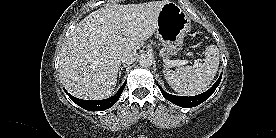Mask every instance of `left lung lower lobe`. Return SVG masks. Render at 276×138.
<instances>
[{
    "label": "left lung lower lobe",
    "instance_id": "obj_1",
    "mask_svg": "<svg viewBox=\"0 0 276 138\" xmlns=\"http://www.w3.org/2000/svg\"><path fill=\"white\" fill-rule=\"evenodd\" d=\"M221 78H222V73L218 78V80L215 82V84L209 90L196 96H189V97L175 96L165 92L159 85L158 87L160 88L161 93L165 97V99L171 101L175 105H178L184 108H191L201 104L206 99H208L220 84Z\"/></svg>",
    "mask_w": 276,
    "mask_h": 138
}]
</instances>
